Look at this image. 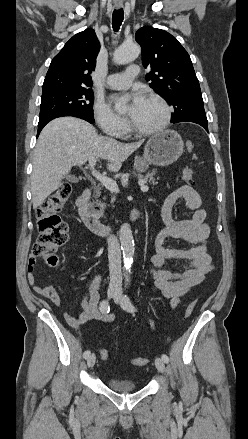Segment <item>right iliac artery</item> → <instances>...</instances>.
Returning a JSON list of instances; mask_svg holds the SVG:
<instances>
[{"label":"right iliac artery","instance_id":"right-iliac-artery-1","mask_svg":"<svg viewBox=\"0 0 248 439\" xmlns=\"http://www.w3.org/2000/svg\"><path fill=\"white\" fill-rule=\"evenodd\" d=\"M99 308H100V311H101L102 313H104V314L109 313V311H110L109 302H108L107 300H103V301L100 303V307H99ZM90 353H91L90 350H86V351L83 353V357H84L85 359H87V358L89 357Z\"/></svg>","mask_w":248,"mask_h":439}]
</instances>
